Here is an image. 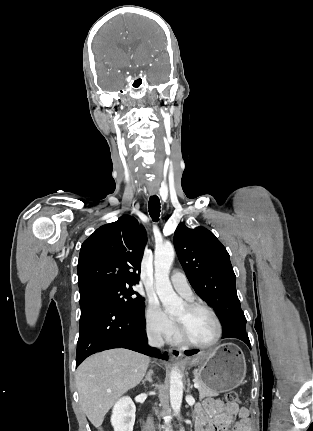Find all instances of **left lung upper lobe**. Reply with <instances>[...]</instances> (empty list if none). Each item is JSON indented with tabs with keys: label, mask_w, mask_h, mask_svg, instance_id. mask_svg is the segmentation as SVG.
<instances>
[{
	"label": "left lung upper lobe",
	"mask_w": 313,
	"mask_h": 431,
	"mask_svg": "<svg viewBox=\"0 0 313 431\" xmlns=\"http://www.w3.org/2000/svg\"><path fill=\"white\" fill-rule=\"evenodd\" d=\"M179 261L195 292L217 313L223 334L245 328L246 318L236 292V276L226 248L204 227L180 223L174 233Z\"/></svg>",
	"instance_id": "obj_1"
}]
</instances>
